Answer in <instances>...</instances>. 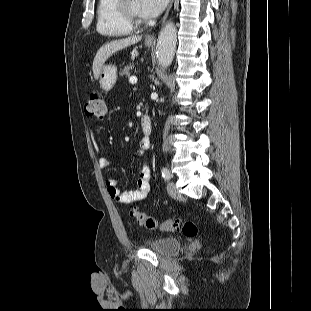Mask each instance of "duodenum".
Segmentation results:
<instances>
[{
	"instance_id": "410a0bca",
	"label": "duodenum",
	"mask_w": 311,
	"mask_h": 311,
	"mask_svg": "<svg viewBox=\"0 0 311 311\" xmlns=\"http://www.w3.org/2000/svg\"><path fill=\"white\" fill-rule=\"evenodd\" d=\"M140 122L144 137H149L152 132V121L150 117L148 115H144Z\"/></svg>"
}]
</instances>
